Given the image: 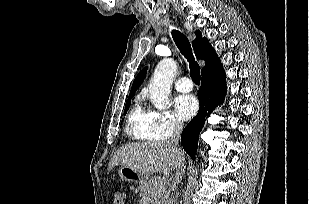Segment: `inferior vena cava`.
<instances>
[{"instance_id":"602c4592","label":"inferior vena cava","mask_w":309,"mask_h":204,"mask_svg":"<svg viewBox=\"0 0 309 204\" xmlns=\"http://www.w3.org/2000/svg\"><path fill=\"white\" fill-rule=\"evenodd\" d=\"M182 129H183V124L180 121H175L173 129H172V133L167 140L168 145L171 146L175 150V152L178 154V159H177V165H176V176L173 179V182L170 185L168 192L166 193V196H165L166 203L165 204H175L171 198V194L175 191V189L181 182L182 176L185 171L184 154L182 150L177 148Z\"/></svg>"}]
</instances>
